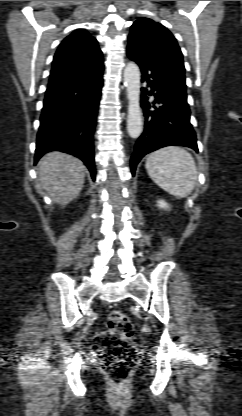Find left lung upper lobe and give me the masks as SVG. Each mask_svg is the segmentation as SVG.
Returning <instances> with one entry per match:
<instances>
[{
	"mask_svg": "<svg viewBox=\"0 0 242 416\" xmlns=\"http://www.w3.org/2000/svg\"><path fill=\"white\" fill-rule=\"evenodd\" d=\"M128 40L129 45L148 54L167 71L170 79L186 89L182 53L168 29L149 18L141 17L133 23Z\"/></svg>",
	"mask_w": 242,
	"mask_h": 416,
	"instance_id": "5c2ea615",
	"label": "left lung upper lobe"
}]
</instances>
